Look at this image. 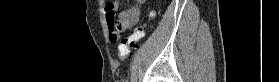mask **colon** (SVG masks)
<instances>
[{
	"instance_id": "5ec220e1",
	"label": "colon",
	"mask_w": 279,
	"mask_h": 82,
	"mask_svg": "<svg viewBox=\"0 0 279 82\" xmlns=\"http://www.w3.org/2000/svg\"><path fill=\"white\" fill-rule=\"evenodd\" d=\"M155 16L154 11H150L148 14L149 18ZM145 34V24H140L135 27L133 33L128 37L122 38L118 46V56L120 59L126 58L131 50L137 47L138 41L144 37Z\"/></svg>"
}]
</instances>
